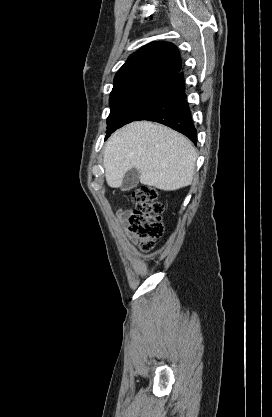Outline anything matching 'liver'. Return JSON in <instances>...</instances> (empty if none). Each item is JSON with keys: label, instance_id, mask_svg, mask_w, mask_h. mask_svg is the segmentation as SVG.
Here are the masks:
<instances>
[{"label": "liver", "instance_id": "6515ba94", "mask_svg": "<svg viewBox=\"0 0 272 417\" xmlns=\"http://www.w3.org/2000/svg\"><path fill=\"white\" fill-rule=\"evenodd\" d=\"M197 154L182 134L160 124L132 122L113 133L104 147L103 166L110 187L122 185L132 168L140 182L164 191L192 183Z\"/></svg>", "mask_w": 272, "mask_h": 417}]
</instances>
